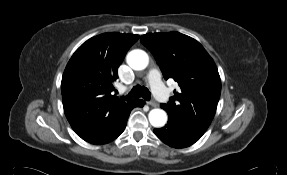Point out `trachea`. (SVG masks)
Listing matches in <instances>:
<instances>
[{"instance_id":"trachea-1","label":"trachea","mask_w":287,"mask_h":175,"mask_svg":"<svg viewBox=\"0 0 287 175\" xmlns=\"http://www.w3.org/2000/svg\"><path fill=\"white\" fill-rule=\"evenodd\" d=\"M150 96H151L150 91L147 88L142 87L140 85L134 86L132 88V90L128 94V97H131V98H140V97H142L146 101L150 100Z\"/></svg>"}]
</instances>
